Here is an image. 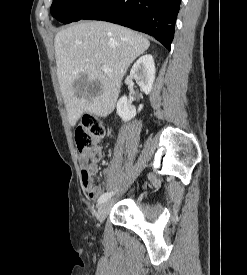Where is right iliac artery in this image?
I'll use <instances>...</instances> for the list:
<instances>
[{"mask_svg": "<svg viewBox=\"0 0 247 275\" xmlns=\"http://www.w3.org/2000/svg\"><path fill=\"white\" fill-rule=\"evenodd\" d=\"M114 194V192H106V193H103L99 199H98V204H102L104 203L105 201H107L112 195Z\"/></svg>", "mask_w": 247, "mask_h": 275, "instance_id": "right-iliac-artery-1", "label": "right iliac artery"}]
</instances>
